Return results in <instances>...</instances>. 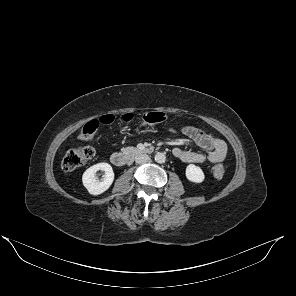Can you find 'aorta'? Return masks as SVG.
<instances>
[{
	"label": "aorta",
	"mask_w": 296,
	"mask_h": 296,
	"mask_svg": "<svg viewBox=\"0 0 296 296\" xmlns=\"http://www.w3.org/2000/svg\"><path fill=\"white\" fill-rule=\"evenodd\" d=\"M155 161L157 163H164L166 161V156L164 153H156L155 155Z\"/></svg>",
	"instance_id": "aorta-1"
}]
</instances>
